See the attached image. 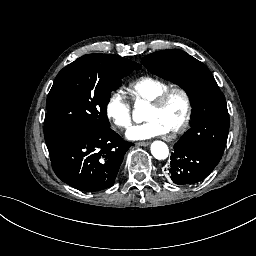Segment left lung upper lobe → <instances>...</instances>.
<instances>
[{
	"instance_id": "5c2ea615",
	"label": "left lung upper lobe",
	"mask_w": 256,
	"mask_h": 256,
	"mask_svg": "<svg viewBox=\"0 0 256 256\" xmlns=\"http://www.w3.org/2000/svg\"><path fill=\"white\" fill-rule=\"evenodd\" d=\"M152 73L181 86L193 107L191 129L175 144L171 173L209 175L225 149L229 115L226 100L209 69L178 49H168L142 58Z\"/></svg>"
}]
</instances>
